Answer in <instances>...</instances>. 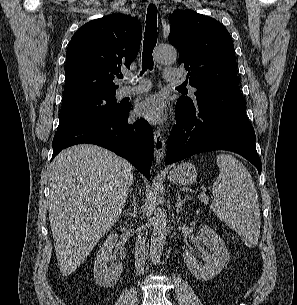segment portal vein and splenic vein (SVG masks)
I'll use <instances>...</instances> for the list:
<instances>
[{
  "instance_id": "1",
  "label": "portal vein and splenic vein",
  "mask_w": 297,
  "mask_h": 305,
  "mask_svg": "<svg viewBox=\"0 0 297 305\" xmlns=\"http://www.w3.org/2000/svg\"><path fill=\"white\" fill-rule=\"evenodd\" d=\"M198 198L202 201H207L208 200V197L206 196V194L204 192H199L198 193Z\"/></svg>"
}]
</instances>
